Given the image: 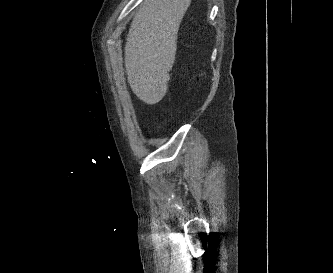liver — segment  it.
<instances>
[{
    "label": "liver",
    "mask_w": 333,
    "mask_h": 273,
    "mask_svg": "<svg viewBox=\"0 0 333 273\" xmlns=\"http://www.w3.org/2000/svg\"><path fill=\"white\" fill-rule=\"evenodd\" d=\"M191 0H146L132 20L125 45L128 83L146 104L167 92L176 50L177 33Z\"/></svg>",
    "instance_id": "1"
}]
</instances>
